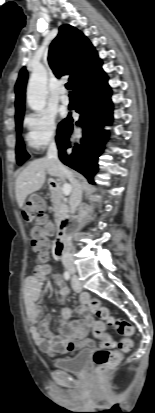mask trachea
<instances>
[{
	"label": "trachea",
	"mask_w": 155,
	"mask_h": 413,
	"mask_svg": "<svg viewBox=\"0 0 155 413\" xmlns=\"http://www.w3.org/2000/svg\"><path fill=\"white\" fill-rule=\"evenodd\" d=\"M66 88H67L68 90H71V89H72L71 83H67V84H66ZM70 94H72V92H70Z\"/></svg>",
	"instance_id": "1"
}]
</instances>
